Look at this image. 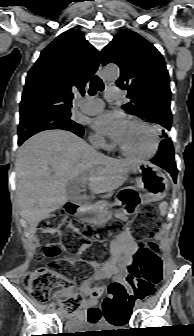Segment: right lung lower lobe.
Listing matches in <instances>:
<instances>
[{
	"instance_id": "98d812e1",
	"label": "right lung lower lobe",
	"mask_w": 194,
	"mask_h": 336,
	"mask_svg": "<svg viewBox=\"0 0 194 336\" xmlns=\"http://www.w3.org/2000/svg\"><path fill=\"white\" fill-rule=\"evenodd\" d=\"M83 133H84V132H82V133H75V134L78 135V136H82ZM27 139H28V138H27ZM25 140H26V139H19V141H18V145L20 146Z\"/></svg>"
}]
</instances>
